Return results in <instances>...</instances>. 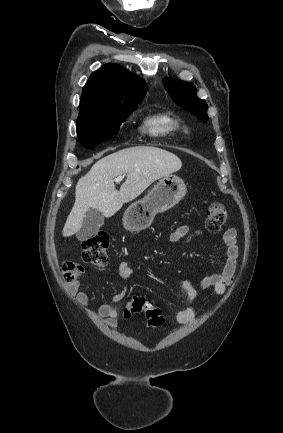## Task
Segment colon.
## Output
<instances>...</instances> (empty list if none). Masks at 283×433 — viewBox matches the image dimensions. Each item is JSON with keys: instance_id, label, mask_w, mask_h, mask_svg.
I'll return each mask as SVG.
<instances>
[{"instance_id": "colon-1", "label": "colon", "mask_w": 283, "mask_h": 433, "mask_svg": "<svg viewBox=\"0 0 283 433\" xmlns=\"http://www.w3.org/2000/svg\"><path fill=\"white\" fill-rule=\"evenodd\" d=\"M229 220L230 216L222 203L212 202L208 205L205 223L209 231H220ZM108 248L107 234H95L82 243V259L96 269L103 270L108 264ZM62 269L64 279L68 283L76 281L83 271L78 263L72 261H66ZM141 312L145 314L148 327L155 329L163 325L164 317L160 310L142 297H134L126 306L124 315L129 318L132 314Z\"/></svg>"}]
</instances>
